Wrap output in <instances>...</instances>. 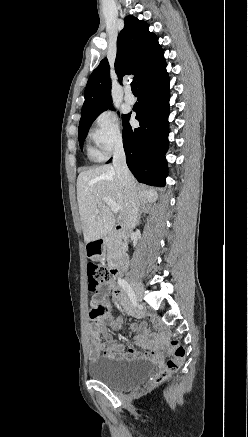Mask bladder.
I'll list each match as a JSON object with an SVG mask.
<instances>
[{"instance_id": "obj_1", "label": "bladder", "mask_w": 248, "mask_h": 437, "mask_svg": "<svg viewBox=\"0 0 248 437\" xmlns=\"http://www.w3.org/2000/svg\"><path fill=\"white\" fill-rule=\"evenodd\" d=\"M155 370V364L148 359L104 357L90 369V376L113 389H124L146 381Z\"/></svg>"}]
</instances>
